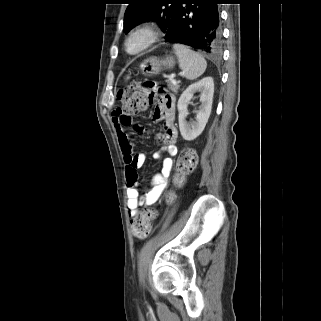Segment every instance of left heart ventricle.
Instances as JSON below:
<instances>
[{"label":"left heart ventricle","instance_id":"left-heart-ventricle-1","mask_svg":"<svg viewBox=\"0 0 321 321\" xmlns=\"http://www.w3.org/2000/svg\"><path fill=\"white\" fill-rule=\"evenodd\" d=\"M145 42V36L137 35L129 43V49L134 51L140 48Z\"/></svg>","mask_w":321,"mask_h":321}]
</instances>
